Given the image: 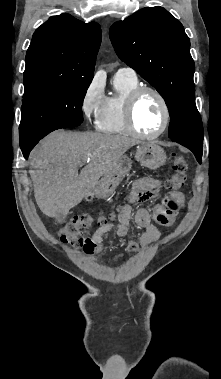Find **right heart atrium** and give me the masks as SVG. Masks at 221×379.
Segmentation results:
<instances>
[{"label": "right heart atrium", "instance_id": "d8ad5b80", "mask_svg": "<svg viewBox=\"0 0 221 379\" xmlns=\"http://www.w3.org/2000/svg\"><path fill=\"white\" fill-rule=\"evenodd\" d=\"M106 98L102 83L98 79H92L81 99V111L84 117L91 121H97L104 109Z\"/></svg>", "mask_w": 221, "mask_h": 379}]
</instances>
